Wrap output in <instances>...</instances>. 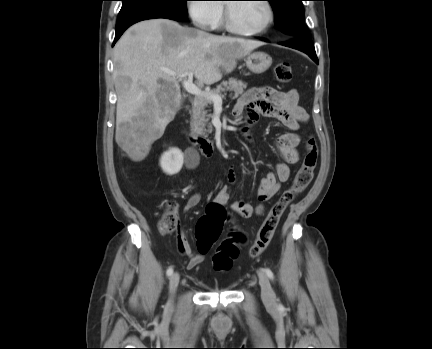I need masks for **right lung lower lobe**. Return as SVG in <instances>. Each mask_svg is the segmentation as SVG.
Instances as JSON below:
<instances>
[{"mask_svg":"<svg viewBox=\"0 0 432 349\" xmlns=\"http://www.w3.org/2000/svg\"><path fill=\"white\" fill-rule=\"evenodd\" d=\"M155 18H166V19H171L174 20L168 16L162 15V14H158V13H143V14H138L123 20L118 21L117 25H116V35H115V39L113 42V45L116 43V41L120 38V36L123 34V32L130 27L131 25H133L136 22L142 21V20H147V19H155Z\"/></svg>","mask_w":432,"mask_h":349,"instance_id":"obj_1","label":"right lung lower lobe"}]
</instances>
